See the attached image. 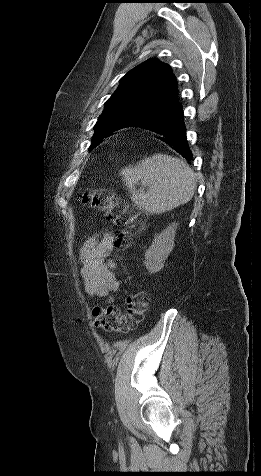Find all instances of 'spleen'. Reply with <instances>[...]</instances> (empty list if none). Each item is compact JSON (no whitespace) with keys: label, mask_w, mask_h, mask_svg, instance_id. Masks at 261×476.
<instances>
[{"label":"spleen","mask_w":261,"mask_h":476,"mask_svg":"<svg viewBox=\"0 0 261 476\" xmlns=\"http://www.w3.org/2000/svg\"><path fill=\"white\" fill-rule=\"evenodd\" d=\"M120 175L134 204L150 214H162L186 204L196 189L195 174L190 166L177 157L161 153L123 168ZM137 185L142 188L137 190Z\"/></svg>","instance_id":"1"}]
</instances>
